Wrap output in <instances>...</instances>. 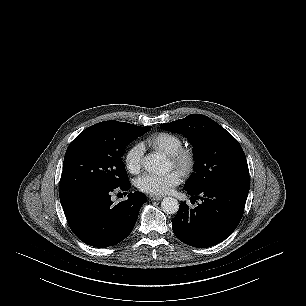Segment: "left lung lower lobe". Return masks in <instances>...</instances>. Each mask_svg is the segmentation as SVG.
Masks as SVG:
<instances>
[{
	"instance_id": "left-lung-lower-lobe-1",
	"label": "left lung lower lobe",
	"mask_w": 306,
	"mask_h": 306,
	"mask_svg": "<svg viewBox=\"0 0 306 306\" xmlns=\"http://www.w3.org/2000/svg\"><path fill=\"white\" fill-rule=\"evenodd\" d=\"M199 199L194 209L183 202L172 219L173 231L182 242L197 248L216 245L238 226L244 212L249 184L216 183L197 190H186Z\"/></svg>"
}]
</instances>
